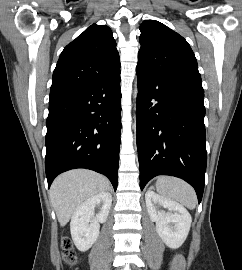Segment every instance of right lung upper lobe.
<instances>
[{
	"mask_svg": "<svg viewBox=\"0 0 242 270\" xmlns=\"http://www.w3.org/2000/svg\"><path fill=\"white\" fill-rule=\"evenodd\" d=\"M119 69V53L111 29L93 24L60 54L50 99L76 91Z\"/></svg>",
	"mask_w": 242,
	"mask_h": 270,
	"instance_id": "cb5924a9",
	"label": "right lung upper lobe"
}]
</instances>
